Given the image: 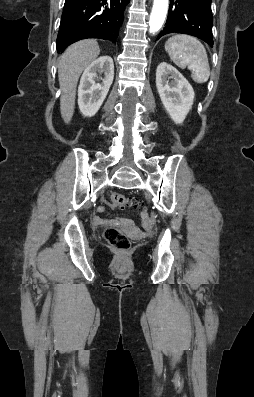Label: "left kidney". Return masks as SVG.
<instances>
[{
    "label": "left kidney",
    "instance_id": "obj_1",
    "mask_svg": "<svg viewBox=\"0 0 254 397\" xmlns=\"http://www.w3.org/2000/svg\"><path fill=\"white\" fill-rule=\"evenodd\" d=\"M156 86L167 113L182 124L194 101V91L186 78L172 65L162 62L156 70Z\"/></svg>",
    "mask_w": 254,
    "mask_h": 397
}]
</instances>
